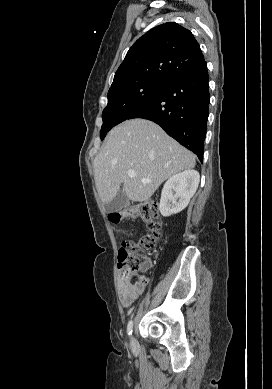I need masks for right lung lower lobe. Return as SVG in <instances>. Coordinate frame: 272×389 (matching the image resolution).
<instances>
[{
    "mask_svg": "<svg viewBox=\"0 0 272 389\" xmlns=\"http://www.w3.org/2000/svg\"><path fill=\"white\" fill-rule=\"evenodd\" d=\"M208 82L204 60L167 82L127 119L144 118L157 123L202 162L210 102Z\"/></svg>",
    "mask_w": 272,
    "mask_h": 389,
    "instance_id": "1",
    "label": "right lung lower lobe"
}]
</instances>
